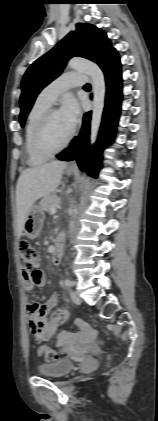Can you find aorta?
<instances>
[{"label": "aorta", "instance_id": "aorta-1", "mask_svg": "<svg viewBox=\"0 0 158 421\" xmlns=\"http://www.w3.org/2000/svg\"><path fill=\"white\" fill-rule=\"evenodd\" d=\"M67 66L71 69L81 71L91 78L93 101L90 143L93 144L97 138L105 105L106 84L104 74L96 63L83 58H72L69 60Z\"/></svg>", "mask_w": 158, "mask_h": 421}]
</instances>
